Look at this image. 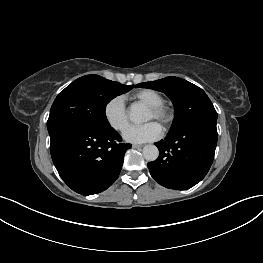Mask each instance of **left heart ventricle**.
<instances>
[{
    "label": "left heart ventricle",
    "instance_id": "obj_1",
    "mask_svg": "<svg viewBox=\"0 0 263 263\" xmlns=\"http://www.w3.org/2000/svg\"><path fill=\"white\" fill-rule=\"evenodd\" d=\"M154 119H155L154 114L152 113L151 110H148V113H147V116H146V121H150V120H154Z\"/></svg>",
    "mask_w": 263,
    "mask_h": 263
}]
</instances>
